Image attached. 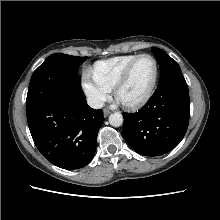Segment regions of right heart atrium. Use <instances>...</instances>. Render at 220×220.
Instances as JSON below:
<instances>
[{"instance_id":"right-heart-atrium-1","label":"right heart atrium","mask_w":220,"mask_h":220,"mask_svg":"<svg viewBox=\"0 0 220 220\" xmlns=\"http://www.w3.org/2000/svg\"><path fill=\"white\" fill-rule=\"evenodd\" d=\"M82 87L88 102L95 108H100L109 99L111 89L99 82L88 70L83 71Z\"/></svg>"}]
</instances>
